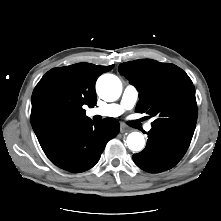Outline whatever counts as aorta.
Masks as SVG:
<instances>
[{
    "label": "aorta",
    "instance_id": "aorta-1",
    "mask_svg": "<svg viewBox=\"0 0 221 221\" xmlns=\"http://www.w3.org/2000/svg\"><path fill=\"white\" fill-rule=\"evenodd\" d=\"M97 93L105 101L117 100L122 92L120 79L113 74L100 76L96 83ZM127 146L132 151H141L144 148V136L140 132H132L127 136Z\"/></svg>",
    "mask_w": 221,
    "mask_h": 221
}]
</instances>
